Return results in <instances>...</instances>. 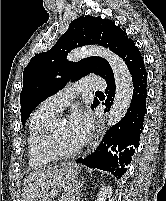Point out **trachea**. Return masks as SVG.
Returning a JSON list of instances; mask_svg holds the SVG:
<instances>
[{
    "label": "trachea",
    "mask_w": 166,
    "mask_h": 201,
    "mask_svg": "<svg viewBox=\"0 0 166 201\" xmlns=\"http://www.w3.org/2000/svg\"><path fill=\"white\" fill-rule=\"evenodd\" d=\"M96 93H101L100 91H97Z\"/></svg>",
    "instance_id": "1"
}]
</instances>
